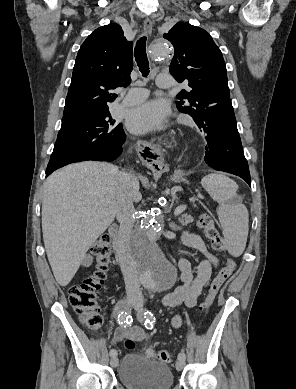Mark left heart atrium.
Wrapping results in <instances>:
<instances>
[{
	"label": "left heart atrium",
	"mask_w": 296,
	"mask_h": 389,
	"mask_svg": "<svg viewBox=\"0 0 296 389\" xmlns=\"http://www.w3.org/2000/svg\"><path fill=\"white\" fill-rule=\"evenodd\" d=\"M170 114L169 106L163 100H151L131 109L127 115V127L136 134H143L160 128Z\"/></svg>",
	"instance_id": "left-heart-atrium-1"
}]
</instances>
